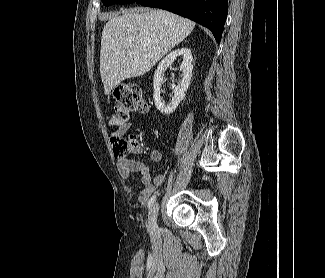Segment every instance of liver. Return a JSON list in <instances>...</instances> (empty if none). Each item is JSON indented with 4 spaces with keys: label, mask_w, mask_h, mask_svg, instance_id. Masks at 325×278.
<instances>
[{
    "label": "liver",
    "mask_w": 325,
    "mask_h": 278,
    "mask_svg": "<svg viewBox=\"0 0 325 278\" xmlns=\"http://www.w3.org/2000/svg\"><path fill=\"white\" fill-rule=\"evenodd\" d=\"M194 27L193 21L160 9L135 8L110 15L100 50L105 95L122 81L147 73Z\"/></svg>",
    "instance_id": "obj_1"
}]
</instances>
